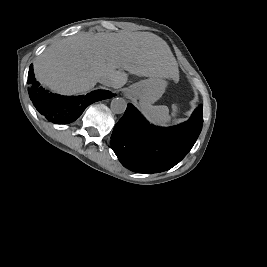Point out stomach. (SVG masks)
<instances>
[{
	"mask_svg": "<svg viewBox=\"0 0 267 267\" xmlns=\"http://www.w3.org/2000/svg\"><path fill=\"white\" fill-rule=\"evenodd\" d=\"M166 87L167 82L163 78L150 77L131 85L126 94L140 102L151 104L161 98Z\"/></svg>",
	"mask_w": 267,
	"mask_h": 267,
	"instance_id": "obj_1",
	"label": "stomach"
}]
</instances>
